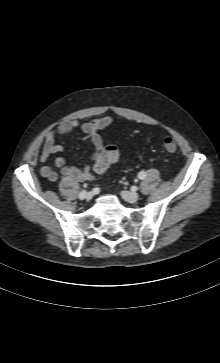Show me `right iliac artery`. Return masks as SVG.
Segmentation results:
<instances>
[{
	"mask_svg": "<svg viewBox=\"0 0 220 363\" xmlns=\"http://www.w3.org/2000/svg\"><path fill=\"white\" fill-rule=\"evenodd\" d=\"M86 193H87L86 190L81 191L80 194H79V198L84 199Z\"/></svg>",
	"mask_w": 220,
	"mask_h": 363,
	"instance_id": "82829eb1",
	"label": "right iliac artery"
}]
</instances>
